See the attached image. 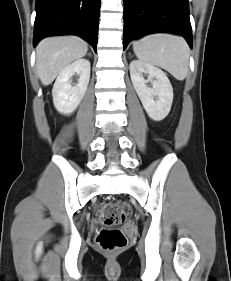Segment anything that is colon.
<instances>
[{
  "label": "colon",
  "mask_w": 231,
  "mask_h": 281,
  "mask_svg": "<svg viewBox=\"0 0 231 281\" xmlns=\"http://www.w3.org/2000/svg\"><path fill=\"white\" fill-rule=\"evenodd\" d=\"M99 220L106 228L99 231L97 243L106 251H116L126 245L124 234L114 227L122 223L130 214L131 208L122 202L99 204L96 210Z\"/></svg>",
  "instance_id": "1"
}]
</instances>
